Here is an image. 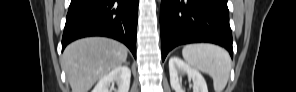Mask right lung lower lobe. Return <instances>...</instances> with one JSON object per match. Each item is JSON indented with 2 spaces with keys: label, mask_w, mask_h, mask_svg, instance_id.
Wrapping results in <instances>:
<instances>
[{
  "label": "right lung lower lobe",
  "mask_w": 296,
  "mask_h": 92,
  "mask_svg": "<svg viewBox=\"0 0 296 92\" xmlns=\"http://www.w3.org/2000/svg\"><path fill=\"white\" fill-rule=\"evenodd\" d=\"M138 0H71L62 50L87 36H106L124 43L136 57Z\"/></svg>",
  "instance_id": "obj_1"
}]
</instances>
